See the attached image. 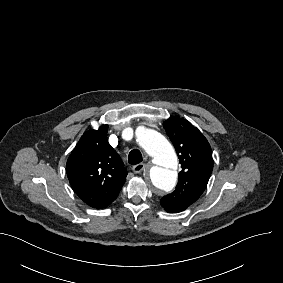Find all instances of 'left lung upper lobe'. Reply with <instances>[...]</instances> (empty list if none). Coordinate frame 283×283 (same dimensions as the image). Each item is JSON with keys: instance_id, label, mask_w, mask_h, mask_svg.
<instances>
[{"instance_id": "1", "label": "left lung upper lobe", "mask_w": 283, "mask_h": 283, "mask_svg": "<svg viewBox=\"0 0 283 283\" xmlns=\"http://www.w3.org/2000/svg\"><path fill=\"white\" fill-rule=\"evenodd\" d=\"M173 143L182 170L175 191L161 198V206L181 212L194 203L206 189L213 170L210 144L187 120L170 117L163 123Z\"/></svg>"}]
</instances>
